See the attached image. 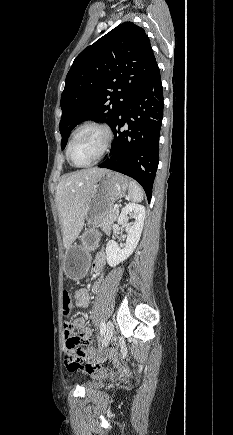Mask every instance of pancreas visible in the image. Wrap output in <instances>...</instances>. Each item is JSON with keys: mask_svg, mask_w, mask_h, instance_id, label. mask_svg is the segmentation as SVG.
<instances>
[{"mask_svg": "<svg viewBox=\"0 0 233 435\" xmlns=\"http://www.w3.org/2000/svg\"><path fill=\"white\" fill-rule=\"evenodd\" d=\"M119 210L113 206L109 207L106 212L104 220L100 223L102 231L107 232L110 230L111 224L116 220Z\"/></svg>", "mask_w": 233, "mask_h": 435, "instance_id": "pancreas-1", "label": "pancreas"}]
</instances>
